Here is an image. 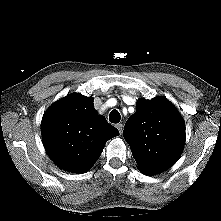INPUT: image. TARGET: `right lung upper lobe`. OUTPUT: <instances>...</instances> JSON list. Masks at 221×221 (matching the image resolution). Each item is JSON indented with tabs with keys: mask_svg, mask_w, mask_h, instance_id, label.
<instances>
[{
	"mask_svg": "<svg viewBox=\"0 0 221 221\" xmlns=\"http://www.w3.org/2000/svg\"><path fill=\"white\" fill-rule=\"evenodd\" d=\"M43 144L54 163L73 173L89 170L119 131L97 114L93 99L73 93L55 102L41 122Z\"/></svg>",
	"mask_w": 221,
	"mask_h": 221,
	"instance_id": "1",
	"label": "right lung upper lobe"
}]
</instances>
